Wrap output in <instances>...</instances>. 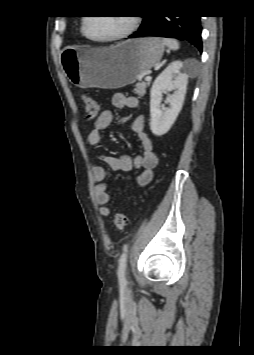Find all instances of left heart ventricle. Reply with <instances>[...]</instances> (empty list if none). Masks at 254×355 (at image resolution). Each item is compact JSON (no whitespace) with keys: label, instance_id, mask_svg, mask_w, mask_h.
Masks as SVG:
<instances>
[{"label":"left heart ventricle","instance_id":"left-heart-ventricle-1","mask_svg":"<svg viewBox=\"0 0 254 355\" xmlns=\"http://www.w3.org/2000/svg\"><path fill=\"white\" fill-rule=\"evenodd\" d=\"M129 24V16L93 17L89 19L87 31L94 38H109L123 32Z\"/></svg>","mask_w":254,"mask_h":355}]
</instances>
